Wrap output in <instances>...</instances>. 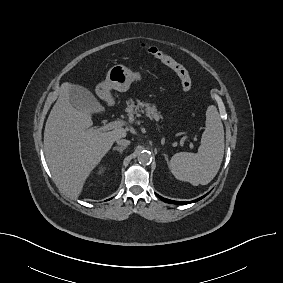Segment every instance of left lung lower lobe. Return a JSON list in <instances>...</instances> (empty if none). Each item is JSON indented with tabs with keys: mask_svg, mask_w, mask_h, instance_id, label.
<instances>
[{
	"mask_svg": "<svg viewBox=\"0 0 283 283\" xmlns=\"http://www.w3.org/2000/svg\"><path fill=\"white\" fill-rule=\"evenodd\" d=\"M156 195H157V194H156ZM206 195H207V194H206ZM206 195H204V196H202V197H200V198H198V199H196V200H194V201H190V202L173 201V200H169V199L163 198V197H161V196H159V195H157V196H158L161 200H163L164 202L171 203V204H182V205H184V204H189V203L197 202V201L201 200L202 198H204Z\"/></svg>",
	"mask_w": 283,
	"mask_h": 283,
	"instance_id": "0a47b994",
	"label": "left lung lower lobe"
}]
</instances>
